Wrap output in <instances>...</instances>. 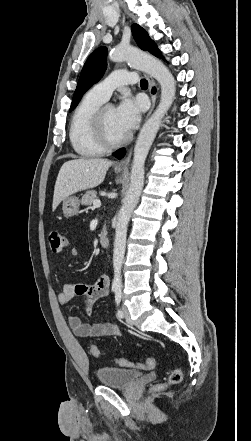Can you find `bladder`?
I'll list each match as a JSON object with an SVG mask.
<instances>
[{"label": "bladder", "instance_id": "obj_1", "mask_svg": "<svg viewBox=\"0 0 251 441\" xmlns=\"http://www.w3.org/2000/svg\"><path fill=\"white\" fill-rule=\"evenodd\" d=\"M96 376L98 382L103 386L128 388L142 376V373L131 369L102 367L97 370Z\"/></svg>", "mask_w": 251, "mask_h": 441}]
</instances>
